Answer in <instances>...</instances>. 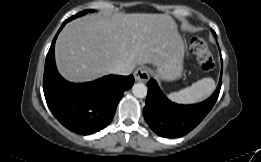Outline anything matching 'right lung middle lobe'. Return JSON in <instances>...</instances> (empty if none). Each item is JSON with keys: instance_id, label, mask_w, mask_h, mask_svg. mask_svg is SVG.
I'll return each mask as SVG.
<instances>
[{"instance_id": "1", "label": "right lung middle lobe", "mask_w": 261, "mask_h": 162, "mask_svg": "<svg viewBox=\"0 0 261 162\" xmlns=\"http://www.w3.org/2000/svg\"><path fill=\"white\" fill-rule=\"evenodd\" d=\"M90 11H92V10H90ZM87 12H88V10L82 11V12L76 14L75 17H78V16H81V15H84V14H86Z\"/></svg>"}]
</instances>
